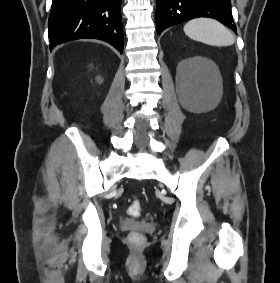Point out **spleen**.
Returning <instances> with one entry per match:
<instances>
[{"label": "spleen", "instance_id": "3e777b00", "mask_svg": "<svg viewBox=\"0 0 280 283\" xmlns=\"http://www.w3.org/2000/svg\"><path fill=\"white\" fill-rule=\"evenodd\" d=\"M184 32L189 38L212 46L226 47L235 42L233 34L223 24L210 18L188 21Z\"/></svg>", "mask_w": 280, "mask_h": 283}]
</instances>
